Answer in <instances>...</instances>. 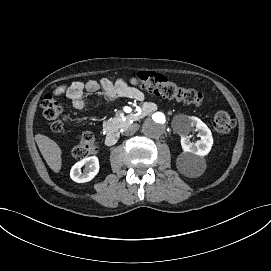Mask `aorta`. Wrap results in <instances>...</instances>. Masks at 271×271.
Here are the masks:
<instances>
[{
  "label": "aorta",
  "instance_id": "obj_1",
  "mask_svg": "<svg viewBox=\"0 0 271 271\" xmlns=\"http://www.w3.org/2000/svg\"><path fill=\"white\" fill-rule=\"evenodd\" d=\"M167 124V116L163 112L157 111L146 118L142 130L148 137L159 138L166 131Z\"/></svg>",
  "mask_w": 271,
  "mask_h": 271
}]
</instances>
